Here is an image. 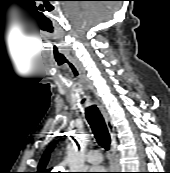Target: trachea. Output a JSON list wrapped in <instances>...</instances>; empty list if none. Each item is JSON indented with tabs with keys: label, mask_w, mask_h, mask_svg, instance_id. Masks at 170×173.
Instances as JSON below:
<instances>
[{
	"label": "trachea",
	"mask_w": 170,
	"mask_h": 173,
	"mask_svg": "<svg viewBox=\"0 0 170 173\" xmlns=\"http://www.w3.org/2000/svg\"><path fill=\"white\" fill-rule=\"evenodd\" d=\"M85 102V99H82V104ZM86 119L92 129V132L96 138V141L100 146L109 149L110 146V134L108 132L107 125L105 120L99 111V109L95 106H89L85 108Z\"/></svg>",
	"instance_id": "1"
}]
</instances>
